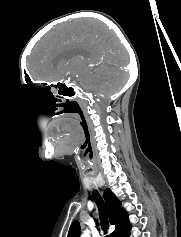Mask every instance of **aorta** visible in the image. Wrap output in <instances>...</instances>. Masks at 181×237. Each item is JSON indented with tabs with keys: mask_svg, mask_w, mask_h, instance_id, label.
<instances>
[{
	"mask_svg": "<svg viewBox=\"0 0 181 237\" xmlns=\"http://www.w3.org/2000/svg\"><path fill=\"white\" fill-rule=\"evenodd\" d=\"M81 237H90V236H89V231L86 230V231L82 234Z\"/></svg>",
	"mask_w": 181,
	"mask_h": 237,
	"instance_id": "1",
	"label": "aorta"
}]
</instances>
